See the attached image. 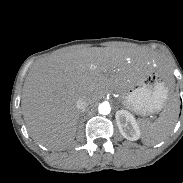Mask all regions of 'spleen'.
Masks as SVG:
<instances>
[{"label": "spleen", "instance_id": "spleen-1", "mask_svg": "<svg viewBox=\"0 0 183 183\" xmlns=\"http://www.w3.org/2000/svg\"><path fill=\"white\" fill-rule=\"evenodd\" d=\"M141 92L138 96H143ZM178 116V101L171 98L167 106L163 109L160 117L153 123L142 121V142L145 145L153 146L162 142L173 130Z\"/></svg>", "mask_w": 183, "mask_h": 183}]
</instances>
